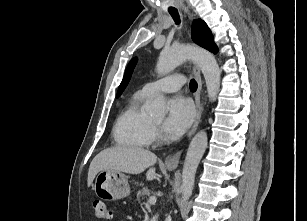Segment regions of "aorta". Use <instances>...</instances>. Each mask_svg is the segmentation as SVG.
Wrapping results in <instances>:
<instances>
[{
    "label": "aorta",
    "instance_id": "obj_1",
    "mask_svg": "<svg viewBox=\"0 0 307 221\" xmlns=\"http://www.w3.org/2000/svg\"><path fill=\"white\" fill-rule=\"evenodd\" d=\"M188 59L194 61L201 69L209 100L214 101L220 89L221 71L215 57L205 49L186 45L164 49L159 55L156 70L159 74H168ZM146 110L151 115L164 117L166 114L164 97H157L147 105ZM207 141V133L202 130L190 142L182 169L181 203L186 202L192 194L196 170L206 150Z\"/></svg>",
    "mask_w": 307,
    "mask_h": 221
}]
</instances>
